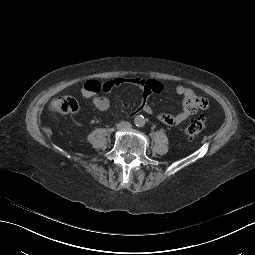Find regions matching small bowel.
<instances>
[{
    "instance_id": "1",
    "label": "small bowel",
    "mask_w": 255,
    "mask_h": 255,
    "mask_svg": "<svg viewBox=\"0 0 255 255\" xmlns=\"http://www.w3.org/2000/svg\"><path fill=\"white\" fill-rule=\"evenodd\" d=\"M121 86H131L142 91L141 103L136 109L129 112L130 116L144 112L149 115H155L158 121L168 126H176L194 115L198 110H206L209 107L208 101L198 96L193 89L178 85L175 88V92L183 98L182 111L174 115L166 113L155 114L148 104V98L154 92H162L166 88V85L157 79H145L141 77H116L104 83L98 80H88L83 84L80 93L83 97L92 99L98 110L107 112L111 107L110 101L100 93L103 91L108 92Z\"/></svg>"
}]
</instances>
